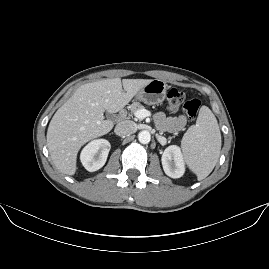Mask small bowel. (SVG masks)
I'll use <instances>...</instances> for the list:
<instances>
[{"label":"small bowel","instance_id":"small-bowel-1","mask_svg":"<svg viewBox=\"0 0 269 269\" xmlns=\"http://www.w3.org/2000/svg\"><path fill=\"white\" fill-rule=\"evenodd\" d=\"M156 121L161 128H166L171 131H178L182 129L186 124V118L182 115L174 118H167L161 112L156 114Z\"/></svg>","mask_w":269,"mask_h":269}]
</instances>
